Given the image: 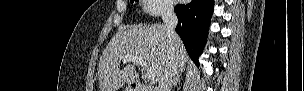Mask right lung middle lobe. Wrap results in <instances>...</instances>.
Masks as SVG:
<instances>
[{
    "instance_id": "right-lung-middle-lobe-1",
    "label": "right lung middle lobe",
    "mask_w": 304,
    "mask_h": 91,
    "mask_svg": "<svg viewBox=\"0 0 304 91\" xmlns=\"http://www.w3.org/2000/svg\"><path fill=\"white\" fill-rule=\"evenodd\" d=\"M134 1H138V0H131L132 3H133Z\"/></svg>"
}]
</instances>
